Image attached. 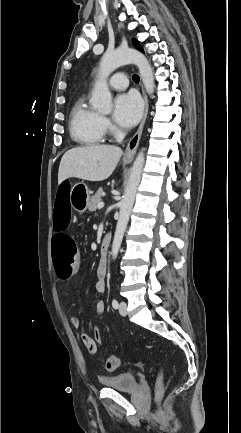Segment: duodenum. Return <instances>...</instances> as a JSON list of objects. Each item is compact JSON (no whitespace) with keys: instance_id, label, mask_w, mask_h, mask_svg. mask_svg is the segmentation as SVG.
Listing matches in <instances>:
<instances>
[{"instance_id":"duodenum-1","label":"duodenum","mask_w":241,"mask_h":433,"mask_svg":"<svg viewBox=\"0 0 241 433\" xmlns=\"http://www.w3.org/2000/svg\"><path fill=\"white\" fill-rule=\"evenodd\" d=\"M110 243H111V237L109 234H106L100 247V254L103 260H105L108 256Z\"/></svg>"}]
</instances>
